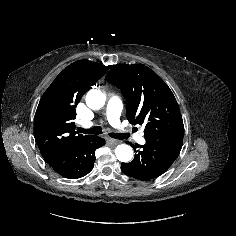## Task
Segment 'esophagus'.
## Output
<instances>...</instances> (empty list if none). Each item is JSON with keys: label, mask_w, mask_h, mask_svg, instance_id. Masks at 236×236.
Returning a JSON list of instances; mask_svg holds the SVG:
<instances>
[{"label": "esophagus", "mask_w": 236, "mask_h": 236, "mask_svg": "<svg viewBox=\"0 0 236 236\" xmlns=\"http://www.w3.org/2000/svg\"><path fill=\"white\" fill-rule=\"evenodd\" d=\"M109 143L112 144V145H117L119 143L118 140H115V139H108Z\"/></svg>", "instance_id": "1"}]
</instances>
